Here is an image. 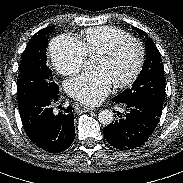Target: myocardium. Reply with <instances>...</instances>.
I'll return each mask as SVG.
<instances>
[{
    "instance_id": "f54148a6",
    "label": "myocardium",
    "mask_w": 183,
    "mask_h": 183,
    "mask_svg": "<svg viewBox=\"0 0 183 183\" xmlns=\"http://www.w3.org/2000/svg\"><path fill=\"white\" fill-rule=\"evenodd\" d=\"M128 43H135L139 47V51H140L139 60L134 71L128 78L113 84L115 88H125L132 85L141 74L145 64V59H146V51L143 43L137 38L128 37V38L116 41L107 49L103 50L102 52H100L95 56V58L109 59L112 56H114L124 45Z\"/></svg>"
}]
</instances>
